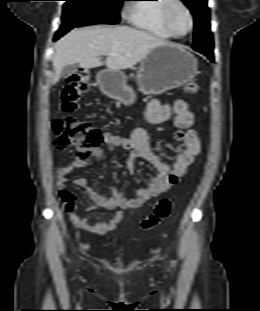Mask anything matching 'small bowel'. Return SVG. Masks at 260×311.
<instances>
[{"label": "small bowel", "mask_w": 260, "mask_h": 311, "mask_svg": "<svg viewBox=\"0 0 260 311\" xmlns=\"http://www.w3.org/2000/svg\"><path fill=\"white\" fill-rule=\"evenodd\" d=\"M174 117L173 122L177 128L185 130L183 141L185 148L177 153L174 162L169 165L162 161L160 156L152 149L148 135L142 128L135 129L130 139L123 138L117 134L103 133V143L110 149L122 148L130 150L131 154L127 159L128 171L134 173V163L136 159L142 158L149 162L157 171L147 187L137 188L133 196H124L116 187L110 188V195L96 192L87 185L84 178H77L74 183L83 188L93 202L87 211H94L97 207L108 209H134L140 208L147 201L167 192L178 180L186 173L195 157L201 151V143L197 132L192 129L195 124L196 116L189 110L188 104L182 99H176L172 102L162 103L158 99L149 101L145 118L150 124H162ZM94 155L98 158L103 153L100 148H96ZM86 162L76 160L62 166L57 172V189L60 199L63 202V209L68 213L72 223L78 228L92 233H106L113 231L122 221L124 214L119 211L109 221H91L76 210V198L67 189L70 181V174L79 168L86 167Z\"/></svg>", "instance_id": "small-bowel-1"}]
</instances>
